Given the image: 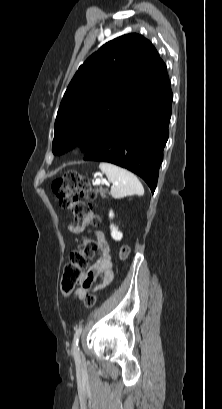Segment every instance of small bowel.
<instances>
[{"instance_id": "small-bowel-1", "label": "small bowel", "mask_w": 222, "mask_h": 409, "mask_svg": "<svg viewBox=\"0 0 222 409\" xmlns=\"http://www.w3.org/2000/svg\"><path fill=\"white\" fill-rule=\"evenodd\" d=\"M92 214H89L82 223L69 224L68 230L72 233H80L84 229V224L89 220ZM98 245L101 253L99 257L90 266L87 272L79 274L76 283L80 285L74 292L77 299L83 300L91 290L99 291L107 287L114 279L115 269L113 266V257L111 248L100 232L97 233ZM100 278L101 281L92 288L93 282Z\"/></svg>"}]
</instances>
